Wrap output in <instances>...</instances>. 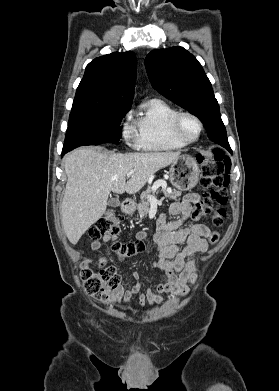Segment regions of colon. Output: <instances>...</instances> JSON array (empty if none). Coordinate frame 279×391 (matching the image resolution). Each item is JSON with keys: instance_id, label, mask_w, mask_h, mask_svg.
Instances as JSON below:
<instances>
[{"instance_id": "1", "label": "colon", "mask_w": 279, "mask_h": 391, "mask_svg": "<svg viewBox=\"0 0 279 391\" xmlns=\"http://www.w3.org/2000/svg\"><path fill=\"white\" fill-rule=\"evenodd\" d=\"M198 163L201 166V186L204 189L203 200L196 205L193 218L212 217L215 226H222L226 212L227 186L229 184L230 160L220 149H214L211 154H199ZM121 219L112 209L108 210L91 228L90 237L111 241V251L120 259H129L147 249V242L137 239L129 243L119 241ZM211 243H216L219 235L213 232L209 236ZM84 288L101 302L109 301L119 289L120 278L115 267L105 265L100 261L98 270L83 267L80 272Z\"/></svg>"}]
</instances>
